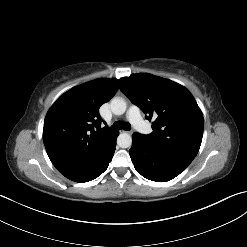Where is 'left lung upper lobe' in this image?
I'll list each match as a JSON object with an SVG mask.
<instances>
[{"label":"left lung upper lobe","instance_id":"1","mask_svg":"<svg viewBox=\"0 0 247 247\" xmlns=\"http://www.w3.org/2000/svg\"><path fill=\"white\" fill-rule=\"evenodd\" d=\"M121 91L152 123L149 135L135 133L154 149L189 165L197 155L204 120L191 93L177 83L150 74H133L119 80Z\"/></svg>","mask_w":247,"mask_h":247}]
</instances>
